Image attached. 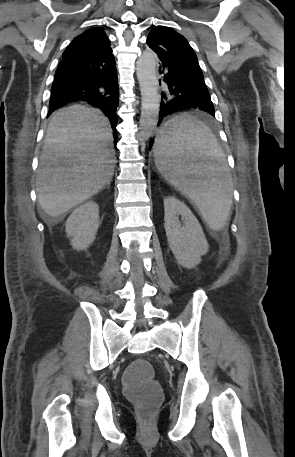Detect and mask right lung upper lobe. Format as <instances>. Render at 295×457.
Segmentation results:
<instances>
[{
	"instance_id": "1",
	"label": "right lung upper lobe",
	"mask_w": 295,
	"mask_h": 457,
	"mask_svg": "<svg viewBox=\"0 0 295 457\" xmlns=\"http://www.w3.org/2000/svg\"><path fill=\"white\" fill-rule=\"evenodd\" d=\"M110 47V40L100 28H91L73 39L63 52L62 60L87 58L98 55Z\"/></svg>"
}]
</instances>
